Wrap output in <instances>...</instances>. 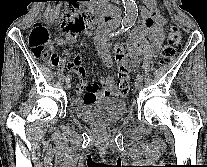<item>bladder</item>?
I'll use <instances>...</instances> for the list:
<instances>
[{
	"instance_id": "obj_1",
	"label": "bladder",
	"mask_w": 207,
	"mask_h": 167,
	"mask_svg": "<svg viewBox=\"0 0 207 167\" xmlns=\"http://www.w3.org/2000/svg\"><path fill=\"white\" fill-rule=\"evenodd\" d=\"M127 112L125 100L120 96H107L76 105V116L87 123L106 125L121 120Z\"/></svg>"
}]
</instances>
